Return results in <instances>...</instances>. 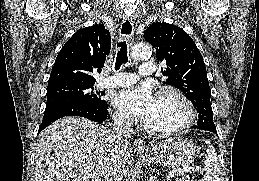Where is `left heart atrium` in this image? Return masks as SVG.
Instances as JSON below:
<instances>
[{
    "instance_id": "obj_1",
    "label": "left heart atrium",
    "mask_w": 259,
    "mask_h": 181,
    "mask_svg": "<svg viewBox=\"0 0 259 181\" xmlns=\"http://www.w3.org/2000/svg\"><path fill=\"white\" fill-rule=\"evenodd\" d=\"M112 101L122 113L144 122L151 117L156 105V97L145 86L122 89L113 95Z\"/></svg>"
}]
</instances>
